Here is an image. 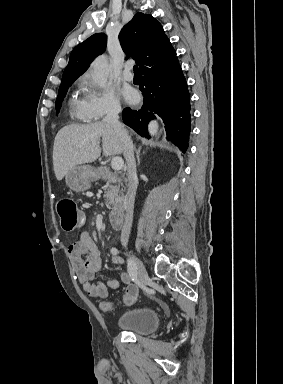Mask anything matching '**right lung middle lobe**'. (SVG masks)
<instances>
[{"label": "right lung middle lobe", "instance_id": "obj_1", "mask_svg": "<svg viewBox=\"0 0 283 384\" xmlns=\"http://www.w3.org/2000/svg\"><path fill=\"white\" fill-rule=\"evenodd\" d=\"M73 82H69V83H63L60 85L59 87V92H58V96H57V99H56V111L59 112L60 110V107H61V103L67 93V90L68 88L72 85Z\"/></svg>", "mask_w": 283, "mask_h": 384}]
</instances>
